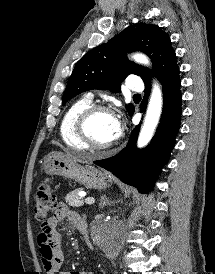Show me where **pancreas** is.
Returning a JSON list of instances; mask_svg holds the SVG:
<instances>
[{"label":"pancreas","mask_w":215,"mask_h":274,"mask_svg":"<svg viewBox=\"0 0 215 274\" xmlns=\"http://www.w3.org/2000/svg\"><path fill=\"white\" fill-rule=\"evenodd\" d=\"M82 188L75 189L74 191L67 194L65 197L66 203L71 207H81L83 206V200L79 196V192L82 191Z\"/></svg>","instance_id":"pancreas-1"}]
</instances>
